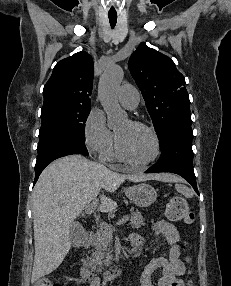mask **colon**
<instances>
[{
  "label": "colon",
  "mask_w": 231,
  "mask_h": 286,
  "mask_svg": "<svg viewBox=\"0 0 231 286\" xmlns=\"http://www.w3.org/2000/svg\"><path fill=\"white\" fill-rule=\"evenodd\" d=\"M166 215L174 221H181L190 224L194 220V214L186 200L179 196L171 197L166 204ZM34 286H59L50 278L39 279ZM188 286H193L191 282Z\"/></svg>",
  "instance_id": "5ec220e1"
}]
</instances>
